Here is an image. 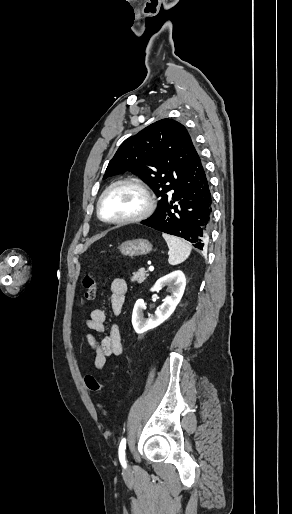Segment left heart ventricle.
Wrapping results in <instances>:
<instances>
[{"mask_svg":"<svg viewBox=\"0 0 292 514\" xmlns=\"http://www.w3.org/2000/svg\"><path fill=\"white\" fill-rule=\"evenodd\" d=\"M142 194L132 187L112 190L102 202V215L106 219H119L135 214L143 207Z\"/></svg>","mask_w":292,"mask_h":514,"instance_id":"left-heart-ventricle-1","label":"left heart ventricle"}]
</instances>
